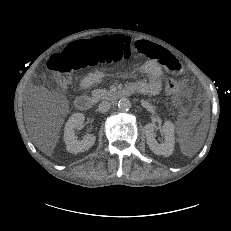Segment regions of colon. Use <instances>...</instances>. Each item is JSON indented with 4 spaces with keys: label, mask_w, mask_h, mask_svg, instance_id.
Here are the masks:
<instances>
[{
    "label": "colon",
    "mask_w": 231,
    "mask_h": 231,
    "mask_svg": "<svg viewBox=\"0 0 231 231\" xmlns=\"http://www.w3.org/2000/svg\"><path fill=\"white\" fill-rule=\"evenodd\" d=\"M132 43L128 37L113 35L92 41L69 45L63 53L53 56L49 69L56 75L57 84L67 87L71 83L72 72L87 65L127 61L132 57ZM166 91L176 94L178 82L169 77L165 82Z\"/></svg>",
    "instance_id": "5ec220e1"
}]
</instances>
